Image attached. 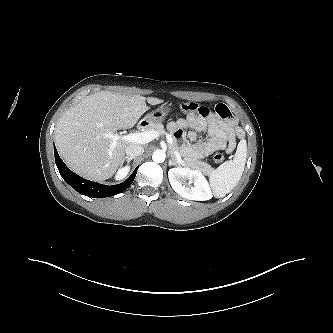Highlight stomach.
Returning <instances> with one entry per match:
<instances>
[{
    "label": "stomach",
    "mask_w": 333,
    "mask_h": 333,
    "mask_svg": "<svg viewBox=\"0 0 333 333\" xmlns=\"http://www.w3.org/2000/svg\"><path fill=\"white\" fill-rule=\"evenodd\" d=\"M171 104H164L157 108L156 110L148 113L142 121L146 122L147 125L156 123V122H162L165 117L171 112Z\"/></svg>",
    "instance_id": "obj_1"
}]
</instances>
